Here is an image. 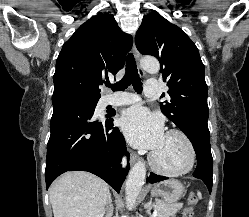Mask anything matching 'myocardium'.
<instances>
[{
	"mask_svg": "<svg viewBox=\"0 0 249 217\" xmlns=\"http://www.w3.org/2000/svg\"><path fill=\"white\" fill-rule=\"evenodd\" d=\"M165 135H176L184 142L188 150V161L184 167L180 169H176V170H170V169H166L162 167L156 161L154 152H151L149 154V163L151 167L159 174H162L168 177H176V176L187 174L188 172L192 170L196 162V150L191 139L188 137L186 133H184L182 130H179V129H170L166 132Z\"/></svg>",
	"mask_w": 249,
	"mask_h": 217,
	"instance_id": "myocardium-1",
	"label": "myocardium"
}]
</instances>
